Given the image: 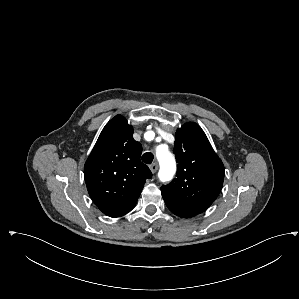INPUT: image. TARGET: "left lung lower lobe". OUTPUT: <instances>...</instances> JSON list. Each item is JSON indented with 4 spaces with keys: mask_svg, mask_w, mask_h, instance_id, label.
Returning <instances> with one entry per match:
<instances>
[{
    "mask_svg": "<svg viewBox=\"0 0 299 299\" xmlns=\"http://www.w3.org/2000/svg\"><path fill=\"white\" fill-rule=\"evenodd\" d=\"M168 209L174 213L175 215L179 216V217H182V218H190V217H193L195 216L194 214L186 211V210H183L181 208H179L178 206H176L175 204H173L172 202L164 199Z\"/></svg>",
    "mask_w": 299,
    "mask_h": 299,
    "instance_id": "0a47b994",
    "label": "left lung lower lobe"
}]
</instances>
